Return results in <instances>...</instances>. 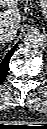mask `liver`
Instances as JSON below:
<instances>
[{
	"label": "liver",
	"instance_id": "obj_1",
	"mask_svg": "<svg viewBox=\"0 0 47 129\" xmlns=\"http://www.w3.org/2000/svg\"><path fill=\"white\" fill-rule=\"evenodd\" d=\"M0 5L6 8L5 11L0 12V29L9 28L16 34L21 21L18 0H0Z\"/></svg>",
	"mask_w": 47,
	"mask_h": 129
}]
</instances>
